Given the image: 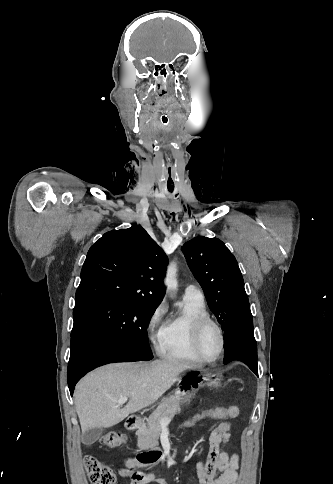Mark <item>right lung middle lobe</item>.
<instances>
[{
	"instance_id": "obj_1",
	"label": "right lung middle lobe",
	"mask_w": 333,
	"mask_h": 484,
	"mask_svg": "<svg viewBox=\"0 0 333 484\" xmlns=\"http://www.w3.org/2000/svg\"><path fill=\"white\" fill-rule=\"evenodd\" d=\"M158 305L117 299H89L75 304L74 322L85 320L119 340L138 360L153 358L147 326Z\"/></svg>"
}]
</instances>
